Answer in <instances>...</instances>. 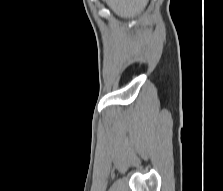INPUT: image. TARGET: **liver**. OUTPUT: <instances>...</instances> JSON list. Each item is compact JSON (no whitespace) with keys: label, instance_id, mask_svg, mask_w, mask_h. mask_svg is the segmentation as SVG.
<instances>
[{"label":"liver","instance_id":"6515ba94","mask_svg":"<svg viewBox=\"0 0 223 191\" xmlns=\"http://www.w3.org/2000/svg\"><path fill=\"white\" fill-rule=\"evenodd\" d=\"M112 11L122 18H133L141 14L148 0H106Z\"/></svg>","mask_w":223,"mask_h":191}]
</instances>
